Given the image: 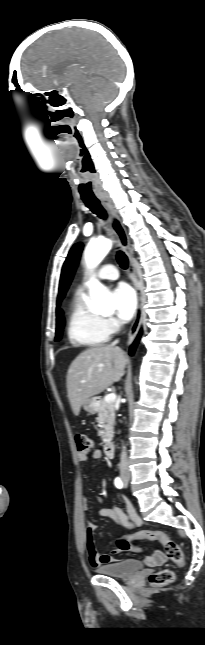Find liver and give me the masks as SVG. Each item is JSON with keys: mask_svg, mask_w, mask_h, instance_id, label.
Returning <instances> with one entry per match:
<instances>
[{"mask_svg": "<svg viewBox=\"0 0 205 645\" xmlns=\"http://www.w3.org/2000/svg\"><path fill=\"white\" fill-rule=\"evenodd\" d=\"M127 357L119 347L99 344L80 353L67 372L68 399L75 416L81 406L123 376Z\"/></svg>", "mask_w": 205, "mask_h": 645, "instance_id": "obj_1", "label": "liver"}]
</instances>
